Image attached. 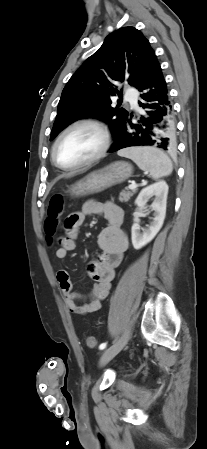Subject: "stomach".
Wrapping results in <instances>:
<instances>
[{
    "mask_svg": "<svg viewBox=\"0 0 207 449\" xmlns=\"http://www.w3.org/2000/svg\"><path fill=\"white\" fill-rule=\"evenodd\" d=\"M133 167L124 161H117L110 165L95 170L76 183H74L67 193L72 197H84L102 192L114 185L120 184L131 177Z\"/></svg>",
    "mask_w": 207,
    "mask_h": 449,
    "instance_id": "1",
    "label": "stomach"
}]
</instances>
